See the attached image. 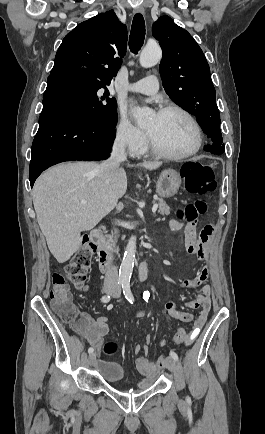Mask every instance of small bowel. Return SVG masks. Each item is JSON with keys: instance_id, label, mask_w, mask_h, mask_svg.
Segmentation results:
<instances>
[{"instance_id": "c3829d8e", "label": "small bowel", "mask_w": 265, "mask_h": 434, "mask_svg": "<svg viewBox=\"0 0 265 434\" xmlns=\"http://www.w3.org/2000/svg\"><path fill=\"white\" fill-rule=\"evenodd\" d=\"M181 227L182 223L179 220L172 219L170 221L171 230L176 231ZM185 234L186 252L190 255H195L200 260H205L206 245L212 234L207 239H202L200 235L197 236L193 225L186 226ZM208 277L209 269L207 267H203L198 271L194 278L185 279L182 282V286L195 288L197 290L196 298L185 303V306L188 309L198 310L196 315L178 310L175 304L171 301L167 302L161 310V315L168 314L175 320L192 323V328L187 331L188 341L185 345H190L196 339L207 321L211 309L210 286L206 284ZM77 312L81 320L80 325L75 326L72 324V327L87 341L91 347L97 349L101 345L108 332V318L103 315L94 318L85 311ZM130 313L134 318L137 315L140 318H143L148 312L146 310H132ZM150 340L151 338H147L146 342L142 346L143 355L139 356L136 360L137 369L146 377L141 378V387H150L151 382L155 383L158 380V377L156 376L155 364L150 358L151 351L147 347V343H149ZM163 344L164 341H161V345Z\"/></svg>"}]
</instances>
